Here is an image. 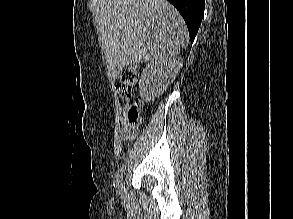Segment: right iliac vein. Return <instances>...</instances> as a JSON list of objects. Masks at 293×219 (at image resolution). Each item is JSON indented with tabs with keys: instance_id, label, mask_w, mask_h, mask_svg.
<instances>
[{
	"instance_id": "1",
	"label": "right iliac vein",
	"mask_w": 293,
	"mask_h": 219,
	"mask_svg": "<svg viewBox=\"0 0 293 219\" xmlns=\"http://www.w3.org/2000/svg\"><path fill=\"white\" fill-rule=\"evenodd\" d=\"M120 194H121V195L124 194V186H123V184H122V187H121V189H120Z\"/></svg>"
}]
</instances>
